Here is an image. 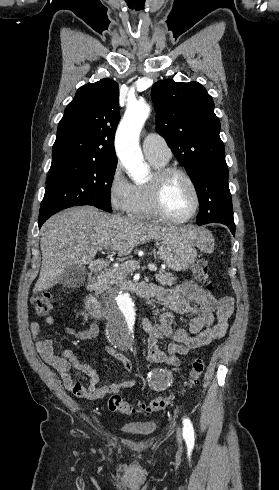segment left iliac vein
<instances>
[{"label": "left iliac vein", "instance_id": "left-iliac-vein-1", "mask_svg": "<svg viewBox=\"0 0 279 490\" xmlns=\"http://www.w3.org/2000/svg\"><path fill=\"white\" fill-rule=\"evenodd\" d=\"M176 439H177V442L179 444V450L182 451V432H181V430L177 431Z\"/></svg>", "mask_w": 279, "mask_h": 490}]
</instances>
